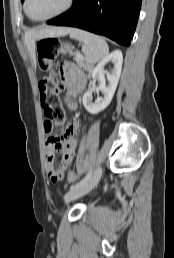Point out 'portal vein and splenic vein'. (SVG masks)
Here are the masks:
<instances>
[{
    "mask_svg": "<svg viewBox=\"0 0 174 258\" xmlns=\"http://www.w3.org/2000/svg\"><path fill=\"white\" fill-rule=\"evenodd\" d=\"M76 59H82V56L81 55H77Z\"/></svg>",
    "mask_w": 174,
    "mask_h": 258,
    "instance_id": "obj_1",
    "label": "portal vein and splenic vein"
}]
</instances>
